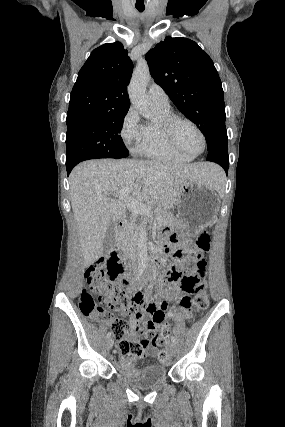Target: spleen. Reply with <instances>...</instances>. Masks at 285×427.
Listing matches in <instances>:
<instances>
[{"label":"spleen","instance_id":"3e777b00","mask_svg":"<svg viewBox=\"0 0 285 427\" xmlns=\"http://www.w3.org/2000/svg\"><path fill=\"white\" fill-rule=\"evenodd\" d=\"M224 186H225V176H224L223 172L221 171L218 174L216 190L222 192L224 189Z\"/></svg>","mask_w":285,"mask_h":427}]
</instances>
